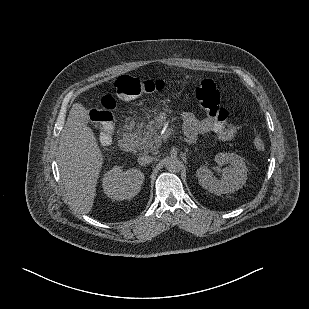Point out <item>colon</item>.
<instances>
[{
  "mask_svg": "<svg viewBox=\"0 0 309 309\" xmlns=\"http://www.w3.org/2000/svg\"><path fill=\"white\" fill-rule=\"evenodd\" d=\"M165 88L163 80H145L127 75L120 76L114 83L115 91L101 98V107L95 112L93 120L99 127L100 141H109L115 131L114 110L118 100L130 101L140 95L160 92ZM195 97L200 108L210 118L219 123L233 121L235 116L221 106L220 92L215 82L204 79L195 91ZM254 148L259 152L265 151V142L259 134L253 137Z\"/></svg>",
  "mask_w": 309,
  "mask_h": 309,
  "instance_id": "5ec220e1",
  "label": "colon"
}]
</instances>
